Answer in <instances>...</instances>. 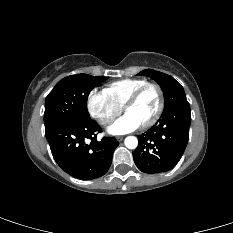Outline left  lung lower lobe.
Instances as JSON below:
<instances>
[{
  "instance_id": "1",
  "label": "left lung lower lobe",
  "mask_w": 233,
  "mask_h": 233,
  "mask_svg": "<svg viewBox=\"0 0 233 233\" xmlns=\"http://www.w3.org/2000/svg\"><path fill=\"white\" fill-rule=\"evenodd\" d=\"M190 123L187 99L163 111L157 123L139 137V145L133 152L138 169L154 174L175 167L187 146Z\"/></svg>"
}]
</instances>
